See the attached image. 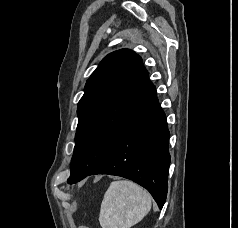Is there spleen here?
<instances>
[{
	"label": "spleen",
	"instance_id": "1",
	"mask_svg": "<svg viewBox=\"0 0 238 228\" xmlns=\"http://www.w3.org/2000/svg\"><path fill=\"white\" fill-rule=\"evenodd\" d=\"M151 196L128 180L113 181L106 191L99 214L102 228H130L150 211Z\"/></svg>",
	"mask_w": 238,
	"mask_h": 228
}]
</instances>
